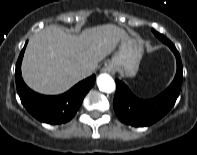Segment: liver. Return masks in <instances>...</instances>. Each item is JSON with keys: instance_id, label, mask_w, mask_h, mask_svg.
Segmentation results:
<instances>
[{"instance_id": "1", "label": "liver", "mask_w": 197, "mask_h": 155, "mask_svg": "<svg viewBox=\"0 0 197 155\" xmlns=\"http://www.w3.org/2000/svg\"><path fill=\"white\" fill-rule=\"evenodd\" d=\"M126 38V32L113 24L88 28L80 35L50 25L29 39L22 62L23 79L39 93H63L92 74ZM83 68L90 72L83 73Z\"/></svg>"}]
</instances>
